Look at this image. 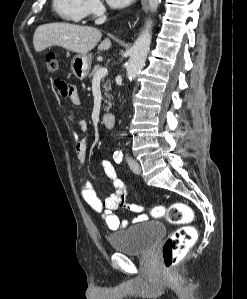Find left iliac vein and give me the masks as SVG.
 Wrapping results in <instances>:
<instances>
[{
	"mask_svg": "<svg viewBox=\"0 0 247 299\" xmlns=\"http://www.w3.org/2000/svg\"><path fill=\"white\" fill-rule=\"evenodd\" d=\"M129 166L134 173L139 174L141 172V167L137 161L130 159Z\"/></svg>",
	"mask_w": 247,
	"mask_h": 299,
	"instance_id": "1",
	"label": "left iliac vein"
}]
</instances>
